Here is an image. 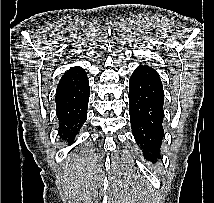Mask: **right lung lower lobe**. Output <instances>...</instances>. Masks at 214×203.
<instances>
[{
  "mask_svg": "<svg viewBox=\"0 0 214 203\" xmlns=\"http://www.w3.org/2000/svg\"><path fill=\"white\" fill-rule=\"evenodd\" d=\"M55 101L59 134L71 143L87 115L89 82L83 68L74 67L65 72L57 86Z\"/></svg>",
  "mask_w": 214,
  "mask_h": 203,
  "instance_id": "98d812e1",
  "label": "right lung lower lobe"
}]
</instances>
